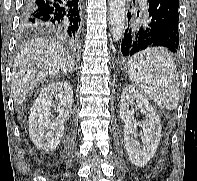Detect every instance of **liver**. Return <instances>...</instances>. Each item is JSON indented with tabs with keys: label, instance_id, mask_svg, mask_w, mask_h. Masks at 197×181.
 I'll use <instances>...</instances> for the list:
<instances>
[{
	"label": "liver",
	"instance_id": "1",
	"mask_svg": "<svg viewBox=\"0 0 197 181\" xmlns=\"http://www.w3.org/2000/svg\"><path fill=\"white\" fill-rule=\"evenodd\" d=\"M75 64L65 47L54 39L37 38L17 54L11 74L14 102L20 105L43 78L68 74Z\"/></svg>",
	"mask_w": 197,
	"mask_h": 181
}]
</instances>
